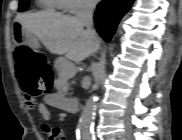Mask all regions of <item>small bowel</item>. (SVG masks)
Listing matches in <instances>:
<instances>
[{"label":"small bowel","mask_w":182,"mask_h":140,"mask_svg":"<svg viewBox=\"0 0 182 140\" xmlns=\"http://www.w3.org/2000/svg\"><path fill=\"white\" fill-rule=\"evenodd\" d=\"M26 102L30 107H34L36 104V103L32 104L29 101ZM37 109L44 122H48L51 120L52 114L49 108L45 104L43 103L39 104L37 106ZM41 128L43 132L46 133V135L48 136V140H62V132L60 128H52L47 123H43Z\"/></svg>","instance_id":"small-bowel-1"}]
</instances>
